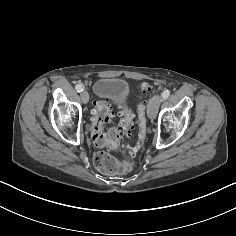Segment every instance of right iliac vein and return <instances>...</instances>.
<instances>
[{
	"label": "right iliac vein",
	"instance_id": "63e3f726",
	"mask_svg": "<svg viewBox=\"0 0 236 236\" xmlns=\"http://www.w3.org/2000/svg\"><path fill=\"white\" fill-rule=\"evenodd\" d=\"M81 100L84 104H87L89 101V94L87 91H82L80 94Z\"/></svg>",
	"mask_w": 236,
	"mask_h": 236
}]
</instances>
